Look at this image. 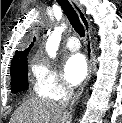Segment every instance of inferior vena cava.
Instances as JSON below:
<instances>
[{"label": "inferior vena cava", "instance_id": "1", "mask_svg": "<svg viewBox=\"0 0 122 123\" xmlns=\"http://www.w3.org/2000/svg\"><path fill=\"white\" fill-rule=\"evenodd\" d=\"M73 94H74L73 87L69 84H66L64 98L59 101V106L62 109H65L68 106Z\"/></svg>", "mask_w": 122, "mask_h": 123}]
</instances>
